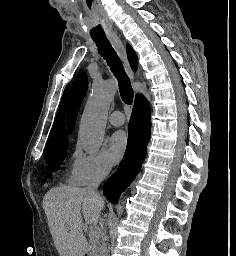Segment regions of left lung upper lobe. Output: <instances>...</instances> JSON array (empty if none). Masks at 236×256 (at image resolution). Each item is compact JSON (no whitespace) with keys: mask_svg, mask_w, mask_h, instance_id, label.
<instances>
[{"mask_svg":"<svg viewBox=\"0 0 236 256\" xmlns=\"http://www.w3.org/2000/svg\"><path fill=\"white\" fill-rule=\"evenodd\" d=\"M88 87L87 76L84 72L80 73L76 78L70 91L67 105V126L68 132L71 133L77 118V113L81 102L86 94Z\"/></svg>","mask_w":236,"mask_h":256,"instance_id":"1","label":"left lung upper lobe"}]
</instances>
